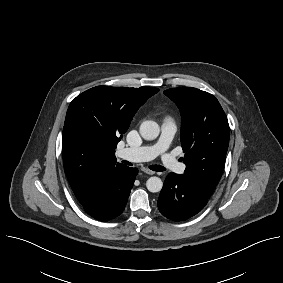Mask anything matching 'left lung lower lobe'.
Returning <instances> with one entry per match:
<instances>
[{
    "label": "left lung lower lobe",
    "mask_w": 283,
    "mask_h": 283,
    "mask_svg": "<svg viewBox=\"0 0 283 283\" xmlns=\"http://www.w3.org/2000/svg\"><path fill=\"white\" fill-rule=\"evenodd\" d=\"M209 197L200 192L184 175L169 173L157 205L161 214L168 219L183 221L200 212Z\"/></svg>",
    "instance_id": "0a47b994"
}]
</instances>
